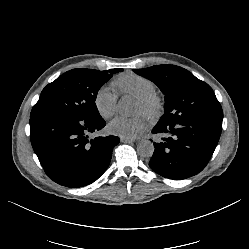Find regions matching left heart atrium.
<instances>
[{
  "label": "left heart atrium",
  "mask_w": 249,
  "mask_h": 249,
  "mask_svg": "<svg viewBox=\"0 0 249 249\" xmlns=\"http://www.w3.org/2000/svg\"><path fill=\"white\" fill-rule=\"evenodd\" d=\"M146 122L143 116L127 117L117 115L108 124V130L113 135L121 137H135L145 128Z\"/></svg>",
  "instance_id": "obj_1"
}]
</instances>
